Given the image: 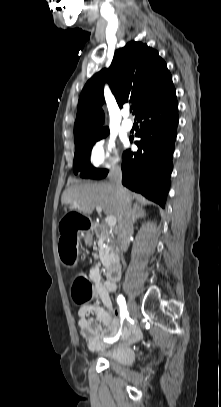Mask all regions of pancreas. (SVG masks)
Segmentation results:
<instances>
[{"mask_svg": "<svg viewBox=\"0 0 221 407\" xmlns=\"http://www.w3.org/2000/svg\"><path fill=\"white\" fill-rule=\"evenodd\" d=\"M113 238H114V235L108 228H104L101 231V234L99 235V239H100L99 256H100L102 264L106 268H108L111 265L112 260H113V251H112ZM103 242L109 243V246L105 250L102 248Z\"/></svg>", "mask_w": 221, "mask_h": 407, "instance_id": "cf45deb5", "label": "pancreas"}]
</instances>
